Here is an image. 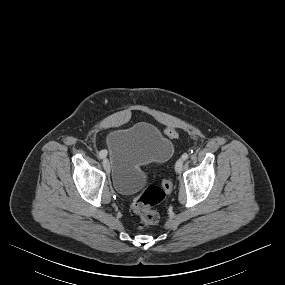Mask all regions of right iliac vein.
<instances>
[{
  "instance_id": "right-iliac-vein-1",
  "label": "right iliac vein",
  "mask_w": 285,
  "mask_h": 285,
  "mask_svg": "<svg viewBox=\"0 0 285 285\" xmlns=\"http://www.w3.org/2000/svg\"><path fill=\"white\" fill-rule=\"evenodd\" d=\"M103 167H104L105 170L109 169V161H108L107 158L103 159Z\"/></svg>"
}]
</instances>
